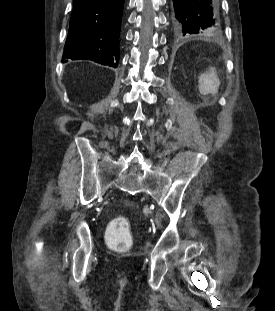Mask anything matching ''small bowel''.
<instances>
[{
    "label": "small bowel",
    "instance_id": "obj_1",
    "mask_svg": "<svg viewBox=\"0 0 275 311\" xmlns=\"http://www.w3.org/2000/svg\"><path fill=\"white\" fill-rule=\"evenodd\" d=\"M221 74L220 66L216 65L215 69H209L208 73H201L200 79L196 81L198 93L201 98H216L219 92L218 78Z\"/></svg>",
    "mask_w": 275,
    "mask_h": 311
}]
</instances>
